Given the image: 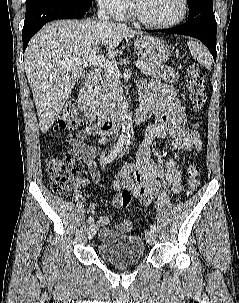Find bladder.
I'll use <instances>...</instances> for the list:
<instances>
[{"label": "bladder", "instance_id": "bladder-1", "mask_svg": "<svg viewBox=\"0 0 239 303\" xmlns=\"http://www.w3.org/2000/svg\"><path fill=\"white\" fill-rule=\"evenodd\" d=\"M99 255L117 266H128L138 263L145 254L143 239L136 234H125L114 237L98 245Z\"/></svg>", "mask_w": 239, "mask_h": 303}]
</instances>
